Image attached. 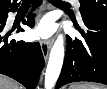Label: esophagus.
<instances>
[{
    "label": "esophagus",
    "mask_w": 107,
    "mask_h": 89,
    "mask_svg": "<svg viewBox=\"0 0 107 89\" xmlns=\"http://www.w3.org/2000/svg\"><path fill=\"white\" fill-rule=\"evenodd\" d=\"M52 44H53V39L52 38L48 39V40L41 41V50H42L43 57H44L45 60L48 58V55H49L50 49L52 47Z\"/></svg>",
    "instance_id": "esophagus-1"
}]
</instances>
